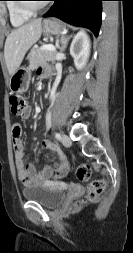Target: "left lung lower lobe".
I'll return each mask as SVG.
<instances>
[{
	"label": "left lung lower lobe",
	"instance_id": "0a47b994",
	"mask_svg": "<svg viewBox=\"0 0 133 253\" xmlns=\"http://www.w3.org/2000/svg\"><path fill=\"white\" fill-rule=\"evenodd\" d=\"M43 17H56L67 23L86 27L97 37L101 26V2L104 0H53Z\"/></svg>",
	"mask_w": 133,
	"mask_h": 253
}]
</instances>
